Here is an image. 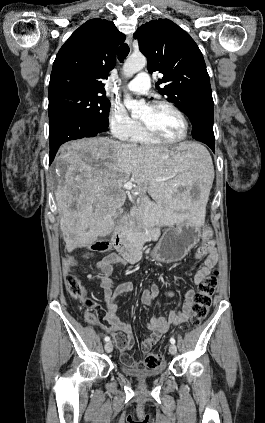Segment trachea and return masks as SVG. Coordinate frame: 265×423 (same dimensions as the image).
I'll return each instance as SVG.
<instances>
[{"mask_svg": "<svg viewBox=\"0 0 265 423\" xmlns=\"http://www.w3.org/2000/svg\"><path fill=\"white\" fill-rule=\"evenodd\" d=\"M129 51H130L129 46L126 43L122 44L119 47V49H118V59H119L120 62H122L126 58V56L129 54Z\"/></svg>", "mask_w": 265, "mask_h": 423, "instance_id": "trachea-1", "label": "trachea"}]
</instances>
